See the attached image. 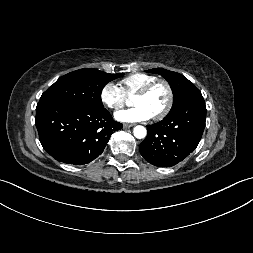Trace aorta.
I'll list each match as a JSON object with an SVG mask.
<instances>
[{
    "mask_svg": "<svg viewBox=\"0 0 253 253\" xmlns=\"http://www.w3.org/2000/svg\"><path fill=\"white\" fill-rule=\"evenodd\" d=\"M133 133L136 138L142 139L146 136L147 131L145 127L138 125L134 128Z\"/></svg>",
    "mask_w": 253,
    "mask_h": 253,
    "instance_id": "aorta-1",
    "label": "aorta"
}]
</instances>
